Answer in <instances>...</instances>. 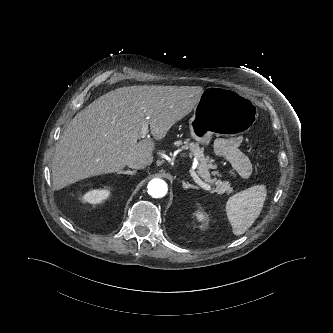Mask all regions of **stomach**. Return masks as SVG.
Segmentation results:
<instances>
[{
  "label": "stomach",
  "mask_w": 333,
  "mask_h": 333,
  "mask_svg": "<svg viewBox=\"0 0 333 333\" xmlns=\"http://www.w3.org/2000/svg\"><path fill=\"white\" fill-rule=\"evenodd\" d=\"M256 117V106L246 96L222 87H210L197 98L189 122L190 136L197 145L207 146L213 135L232 136L247 132Z\"/></svg>",
  "instance_id": "stomach-1"
}]
</instances>
